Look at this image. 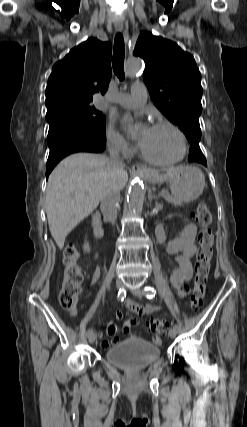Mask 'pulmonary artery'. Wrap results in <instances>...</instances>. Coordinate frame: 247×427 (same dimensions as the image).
Instances as JSON below:
<instances>
[{
	"instance_id": "e3ab8cb5",
	"label": "pulmonary artery",
	"mask_w": 247,
	"mask_h": 427,
	"mask_svg": "<svg viewBox=\"0 0 247 427\" xmlns=\"http://www.w3.org/2000/svg\"><path fill=\"white\" fill-rule=\"evenodd\" d=\"M114 101L126 108L142 106L147 101L146 87L142 83H136L132 86L130 94H120Z\"/></svg>"
}]
</instances>
